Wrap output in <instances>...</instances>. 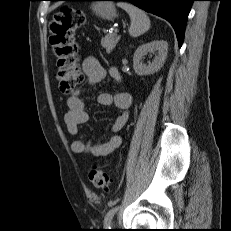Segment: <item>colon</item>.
<instances>
[{"mask_svg": "<svg viewBox=\"0 0 231 231\" xmlns=\"http://www.w3.org/2000/svg\"><path fill=\"white\" fill-rule=\"evenodd\" d=\"M85 20L83 11L64 7L54 15L50 25L49 41L57 61V79L61 92L65 94L73 92L83 80L75 35ZM88 176L91 183L98 188H106L110 184L108 173L98 165L90 168Z\"/></svg>", "mask_w": 231, "mask_h": 231, "instance_id": "5ec220e1", "label": "colon"}]
</instances>
